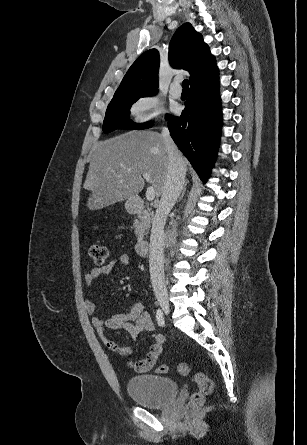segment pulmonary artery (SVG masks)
<instances>
[{
	"label": "pulmonary artery",
	"mask_w": 307,
	"mask_h": 445,
	"mask_svg": "<svg viewBox=\"0 0 307 445\" xmlns=\"http://www.w3.org/2000/svg\"><path fill=\"white\" fill-rule=\"evenodd\" d=\"M181 76H176L175 81L171 83V94L175 97H179L181 92L179 91L182 88V83L180 82Z\"/></svg>",
	"instance_id": "obj_1"
}]
</instances>
